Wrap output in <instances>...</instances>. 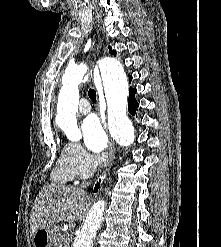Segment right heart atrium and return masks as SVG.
Wrapping results in <instances>:
<instances>
[{"instance_id":"1","label":"right heart atrium","mask_w":221,"mask_h":247,"mask_svg":"<svg viewBox=\"0 0 221 247\" xmlns=\"http://www.w3.org/2000/svg\"><path fill=\"white\" fill-rule=\"evenodd\" d=\"M66 164L74 177H81L92 169L91 158L81 145L69 142L63 149Z\"/></svg>"}]
</instances>
